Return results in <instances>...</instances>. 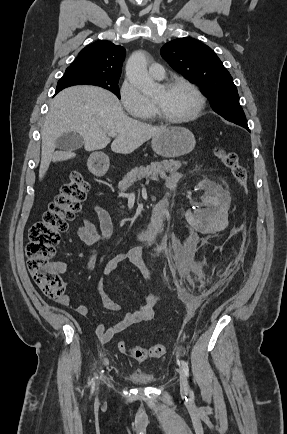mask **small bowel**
I'll list each match as a JSON object with an SVG mask.
<instances>
[{
  "instance_id": "small-bowel-1",
  "label": "small bowel",
  "mask_w": 287,
  "mask_h": 434,
  "mask_svg": "<svg viewBox=\"0 0 287 434\" xmlns=\"http://www.w3.org/2000/svg\"><path fill=\"white\" fill-rule=\"evenodd\" d=\"M180 178V173H174L169 176L167 183L170 190H173L176 187ZM160 203L164 204V214L166 215L169 200L166 198ZM94 213L99 220L101 233H98L96 226L88 218H84L77 228L78 236L83 243L90 248L89 257L86 264L88 271H92L95 267L98 245L110 238L113 232V222L110 213L100 205L94 206ZM162 224L159 227L158 233L161 230ZM124 262H129L133 266L137 267L146 278H152V273L144 260V252L142 247H134L128 251L120 252L114 255L103 267L102 275L104 277L111 275ZM53 267L60 273L66 271V264L64 262L55 263ZM96 289L101 295L102 301L108 310L113 312L120 311L121 306L104 291L102 280L98 282ZM159 300L160 295L158 293L145 295L143 297V303L138 310L126 314L123 319L112 326L99 324L95 328V334L99 341L101 343H108L116 335L125 331L133 324L151 320L154 314L155 306ZM57 302L62 306H69L70 297L67 294L63 295L57 299ZM73 310L78 316L83 317L88 314V308L83 304L76 306Z\"/></svg>"
}]
</instances>
